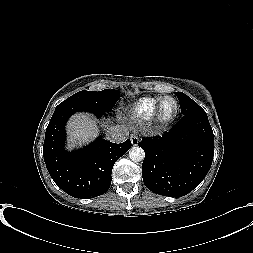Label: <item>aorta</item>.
Returning <instances> with one entry per match:
<instances>
[{
    "label": "aorta",
    "mask_w": 253,
    "mask_h": 253,
    "mask_svg": "<svg viewBox=\"0 0 253 253\" xmlns=\"http://www.w3.org/2000/svg\"><path fill=\"white\" fill-rule=\"evenodd\" d=\"M129 157L133 162H140L144 159L145 152L141 147L135 146L129 150Z\"/></svg>",
    "instance_id": "aorta-1"
}]
</instances>
